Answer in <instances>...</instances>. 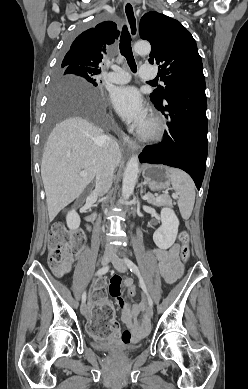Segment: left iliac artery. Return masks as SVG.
<instances>
[{"label":"left iliac artery","instance_id":"left-iliac-artery-1","mask_svg":"<svg viewBox=\"0 0 248 389\" xmlns=\"http://www.w3.org/2000/svg\"><path fill=\"white\" fill-rule=\"evenodd\" d=\"M124 261L126 263V265L128 266V268L130 269L131 272L135 273L138 278H139V282H140V286L142 288V290L144 291V293L146 294L147 296V299H148V303L150 306H153V301L150 297V295L148 294V291H147V288H146V285L144 283V280L140 274V271L138 269V267L136 266V264H134L130 259H128L127 257H124Z\"/></svg>","mask_w":248,"mask_h":389}]
</instances>
